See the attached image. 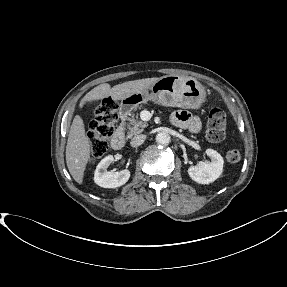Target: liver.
<instances>
[{"label":"liver","mask_w":287,"mask_h":287,"mask_svg":"<svg viewBox=\"0 0 287 287\" xmlns=\"http://www.w3.org/2000/svg\"><path fill=\"white\" fill-rule=\"evenodd\" d=\"M158 79V77H153L127 81L113 87L108 83L100 84L82 98L80 107L86 102L97 101L108 96L113 100H121L128 95L145 90ZM90 148V141L85 133L83 119L80 115H76L68 135L66 163L71 176L79 184H82L83 182L84 171L90 159Z\"/></svg>","instance_id":"liver-1"}]
</instances>
